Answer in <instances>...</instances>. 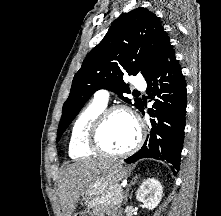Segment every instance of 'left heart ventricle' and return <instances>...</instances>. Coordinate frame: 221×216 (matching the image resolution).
<instances>
[{
    "mask_svg": "<svg viewBox=\"0 0 221 216\" xmlns=\"http://www.w3.org/2000/svg\"><path fill=\"white\" fill-rule=\"evenodd\" d=\"M137 137L136 126L125 113L113 114L100 134L101 144L109 151L120 152L130 147Z\"/></svg>",
    "mask_w": 221,
    "mask_h": 216,
    "instance_id": "b2bd125f",
    "label": "left heart ventricle"
}]
</instances>
